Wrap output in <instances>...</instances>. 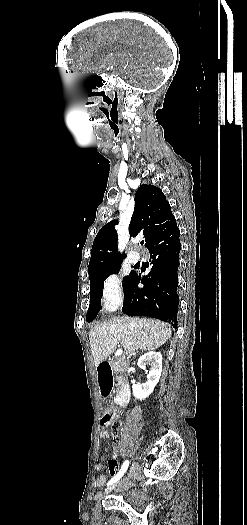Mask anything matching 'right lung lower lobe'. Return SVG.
<instances>
[{"label":"right lung lower lobe","instance_id":"obj_1","mask_svg":"<svg viewBox=\"0 0 247 525\" xmlns=\"http://www.w3.org/2000/svg\"><path fill=\"white\" fill-rule=\"evenodd\" d=\"M180 231L177 225L155 237L145 246L150 253V273L141 278L134 274L125 288L122 311L131 316H145L177 325ZM143 283V288L138 284Z\"/></svg>","mask_w":247,"mask_h":525}]
</instances>
